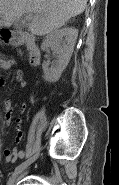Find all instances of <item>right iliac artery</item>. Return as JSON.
Segmentation results:
<instances>
[{"mask_svg": "<svg viewBox=\"0 0 119 185\" xmlns=\"http://www.w3.org/2000/svg\"><path fill=\"white\" fill-rule=\"evenodd\" d=\"M38 156V153L36 155H34L33 157L29 158L28 160H26L25 162L21 163L20 165H18L13 174L12 177H14L19 171H21L23 168H25L28 164H30L36 157Z\"/></svg>", "mask_w": 119, "mask_h": 185, "instance_id": "obj_1", "label": "right iliac artery"}]
</instances>
